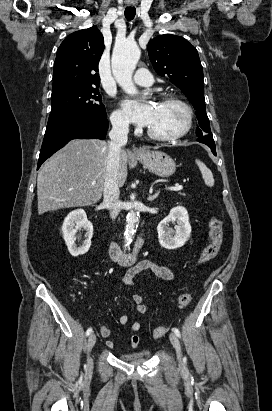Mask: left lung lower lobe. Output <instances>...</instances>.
Listing matches in <instances>:
<instances>
[{"mask_svg": "<svg viewBox=\"0 0 272 411\" xmlns=\"http://www.w3.org/2000/svg\"><path fill=\"white\" fill-rule=\"evenodd\" d=\"M198 141L210 147L213 154L216 155L215 143L213 140L212 133L199 137Z\"/></svg>", "mask_w": 272, "mask_h": 411, "instance_id": "left-lung-lower-lobe-1", "label": "left lung lower lobe"}]
</instances>
